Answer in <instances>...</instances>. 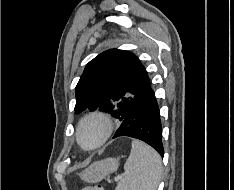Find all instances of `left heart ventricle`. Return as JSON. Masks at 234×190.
<instances>
[{"instance_id": "1", "label": "left heart ventricle", "mask_w": 234, "mask_h": 190, "mask_svg": "<svg viewBox=\"0 0 234 190\" xmlns=\"http://www.w3.org/2000/svg\"><path fill=\"white\" fill-rule=\"evenodd\" d=\"M101 136V127L96 124L92 123L87 125L81 134V140L85 145H92L94 144Z\"/></svg>"}]
</instances>
